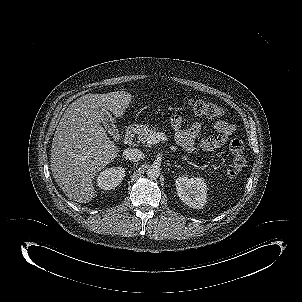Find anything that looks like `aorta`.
Segmentation results:
<instances>
[{"instance_id":"762f6f07","label":"aorta","mask_w":302,"mask_h":302,"mask_svg":"<svg viewBox=\"0 0 302 302\" xmlns=\"http://www.w3.org/2000/svg\"><path fill=\"white\" fill-rule=\"evenodd\" d=\"M160 167L157 165H151L147 168L146 175L150 179H157L160 176Z\"/></svg>"}]
</instances>
